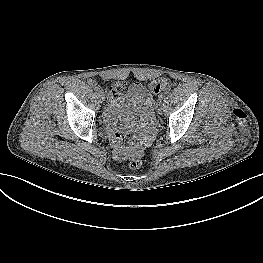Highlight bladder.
I'll return each mask as SVG.
<instances>
[{"instance_id": "obj_1", "label": "bladder", "mask_w": 263, "mask_h": 263, "mask_svg": "<svg viewBox=\"0 0 263 263\" xmlns=\"http://www.w3.org/2000/svg\"><path fill=\"white\" fill-rule=\"evenodd\" d=\"M126 101L129 103V105H126L122 109V113L126 118L133 119L138 112H140L144 105L140 102V98L137 95H131L129 96Z\"/></svg>"}]
</instances>
